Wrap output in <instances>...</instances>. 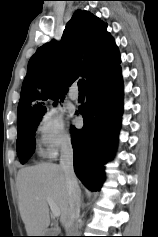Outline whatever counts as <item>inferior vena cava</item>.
I'll list each match as a JSON object with an SVG mask.
<instances>
[{
	"label": "inferior vena cava",
	"mask_w": 158,
	"mask_h": 237,
	"mask_svg": "<svg viewBox=\"0 0 158 237\" xmlns=\"http://www.w3.org/2000/svg\"><path fill=\"white\" fill-rule=\"evenodd\" d=\"M60 167L66 177L68 190V217L65 224L66 232L69 236H79L78 220L80 216V188L73 169V148L69 137L65 138L61 144Z\"/></svg>",
	"instance_id": "inferior-vena-cava-1"
}]
</instances>
